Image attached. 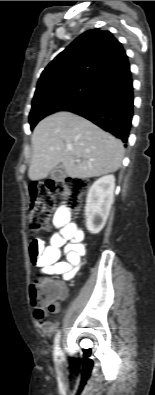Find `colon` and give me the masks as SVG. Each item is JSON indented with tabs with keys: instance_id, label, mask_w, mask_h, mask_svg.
I'll use <instances>...</instances> for the list:
<instances>
[{
	"instance_id": "5ec220e1",
	"label": "colon",
	"mask_w": 155,
	"mask_h": 395,
	"mask_svg": "<svg viewBox=\"0 0 155 395\" xmlns=\"http://www.w3.org/2000/svg\"><path fill=\"white\" fill-rule=\"evenodd\" d=\"M88 186L87 180L73 177L31 185L29 208L31 229L33 231L49 229L50 217L58 197L64 199L67 209L77 210L80 206V198ZM29 296L36 310L48 308L52 311L57 306L56 300L62 297V288L57 281L42 277L39 270H34Z\"/></svg>"
}]
</instances>
